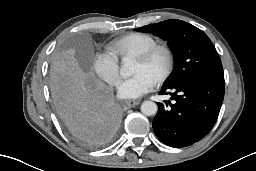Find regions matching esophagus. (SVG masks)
<instances>
[{
	"instance_id": "esophagus-1",
	"label": "esophagus",
	"mask_w": 256,
	"mask_h": 171,
	"mask_svg": "<svg viewBox=\"0 0 256 171\" xmlns=\"http://www.w3.org/2000/svg\"><path fill=\"white\" fill-rule=\"evenodd\" d=\"M140 104V101L139 100H127V101H125V105L127 106V107H135V106H137V105H139Z\"/></svg>"
}]
</instances>
